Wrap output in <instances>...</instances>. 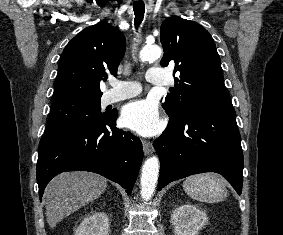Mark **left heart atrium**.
<instances>
[{"label": "left heart atrium", "instance_id": "obj_1", "mask_svg": "<svg viewBox=\"0 0 283 235\" xmlns=\"http://www.w3.org/2000/svg\"><path fill=\"white\" fill-rule=\"evenodd\" d=\"M123 125L142 136H153L162 129L157 107L148 100H137L124 106L121 113Z\"/></svg>", "mask_w": 283, "mask_h": 235}]
</instances>
